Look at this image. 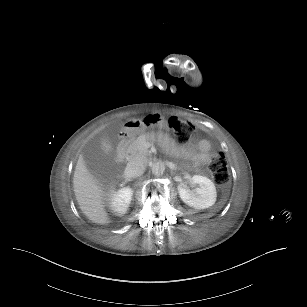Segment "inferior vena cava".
<instances>
[{"label":"inferior vena cava","instance_id":"602c4592","mask_svg":"<svg viewBox=\"0 0 307 307\" xmlns=\"http://www.w3.org/2000/svg\"><path fill=\"white\" fill-rule=\"evenodd\" d=\"M146 168L141 157L131 159L126 166L125 174L131 178H137L144 174Z\"/></svg>","mask_w":307,"mask_h":307}]
</instances>
